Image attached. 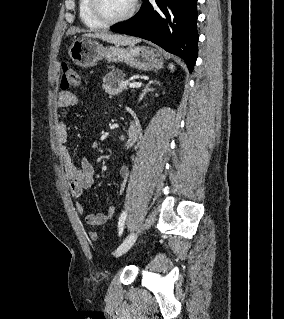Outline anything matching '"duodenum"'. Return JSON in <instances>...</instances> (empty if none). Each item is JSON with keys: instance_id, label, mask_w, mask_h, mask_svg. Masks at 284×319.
Returning a JSON list of instances; mask_svg holds the SVG:
<instances>
[{"instance_id": "1", "label": "duodenum", "mask_w": 284, "mask_h": 319, "mask_svg": "<svg viewBox=\"0 0 284 319\" xmlns=\"http://www.w3.org/2000/svg\"><path fill=\"white\" fill-rule=\"evenodd\" d=\"M137 138V129L135 124H131L128 128L127 136H126V144L129 146L136 141Z\"/></svg>"}]
</instances>
